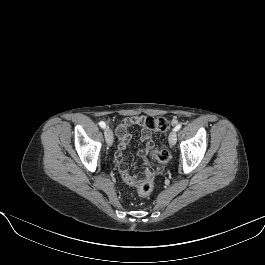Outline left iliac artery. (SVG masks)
<instances>
[{
  "instance_id": "1",
  "label": "left iliac artery",
  "mask_w": 265,
  "mask_h": 265,
  "mask_svg": "<svg viewBox=\"0 0 265 265\" xmlns=\"http://www.w3.org/2000/svg\"><path fill=\"white\" fill-rule=\"evenodd\" d=\"M181 127H182V124L179 123L178 125H176V127L174 128V130L175 131H178V130H180Z\"/></svg>"
}]
</instances>
